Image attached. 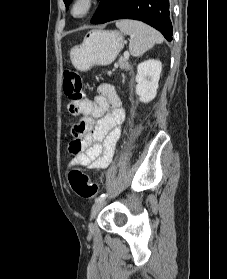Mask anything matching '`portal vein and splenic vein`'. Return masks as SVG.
Segmentation results:
<instances>
[{
    "mask_svg": "<svg viewBox=\"0 0 227 279\" xmlns=\"http://www.w3.org/2000/svg\"><path fill=\"white\" fill-rule=\"evenodd\" d=\"M123 55H124V58H125V59H129V57H130L128 51H125Z\"/></svg>",
    "mask_w": 227,
    "mask_h": 279,
    "instance_id": "1",
    "label": "portal vein and splenic vein"
}]
</instances>
